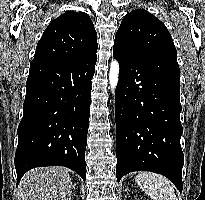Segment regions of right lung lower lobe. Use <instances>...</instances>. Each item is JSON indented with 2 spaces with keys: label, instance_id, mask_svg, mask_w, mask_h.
Masks as SVG:
<instances>
[{
  "label": "right lung lower lobe",
  "instance_id": "1",
  "mask_svg": "<svg viewBox=\"0 0 205 200\" xmlns=\"http://www.w3.org/2000/svg\"><path fill=\"white\" fill-rule=\"evenodd\" d=\"M96 53L74 61L33 60L15 154L17 184L28 170L64 166L86 179L85 150Z\"/></svg>",
  "mask_w": 205,
  "mask_h": 200
}]
</instances>
